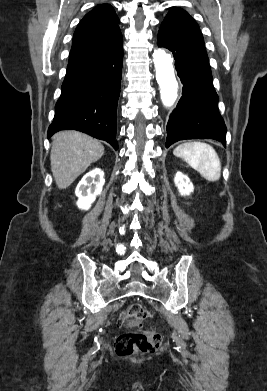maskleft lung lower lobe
I'll return each mask as SVG.
<instances>
[{
	"label": "left lung lower lobe",
	"mask_w": 267,
	"mask_h": 391,
	"mask_svg": "<svg viewBox=\"0 0 267 391\" xmlns=\"http://www.w3.org/2000/svg\"><path fill=\"white\" fill-rule=\"evenodd\" d=\"M158 46L169 49L183 84L182 97L167 124L166 147L185 139H215L225 145L226 126L203 43L167 28L158 32Z\"/></svg>",
	"instance_id": "obj_1"
}]
</instances>
